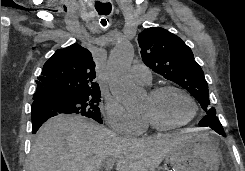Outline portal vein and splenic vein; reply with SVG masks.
I'll use <instances>...</instances> for the list:
<instances>
[{
  "instance_id": "1",
  "label": "portal vein and splenic vein",
  "mask_w": 245,
  "mask_h": 171,
  "mask_svg": "<svg viewBox=\"0 0 245 171\" xmlns=\"http://www.w3.org/2000/svg\"><path fill=\"white\" fill-rule=\"evenodd\" d=\"M115 163V160H107L105 162V167L107 171H110Z\"/></svg>"
}]
</instances>
